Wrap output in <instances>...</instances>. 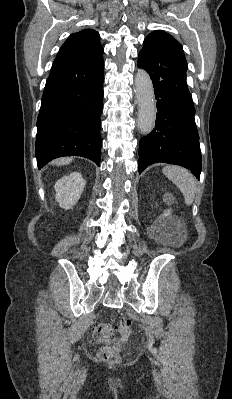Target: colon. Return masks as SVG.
Returning <instances> with one entry per match:
<instances>
[{
	"label": "colon",
	"mask_w": 232,
	"mask_h": 399,
	"mask_svg": "<svg viewBox=\"0 0 232 399\" xmlns=\"http://www.w3.org/2000/svg\"><path fill=\"white\" fill-rule=\"evenodd\" d=\"M130 321H120L118 326H94L93 341H99L100 347H115V341H123L124 328H130ZM103 364L111 365L115 361V351H100Z\"/></svg>",
	"instance_id": "1"
}]
</instances>
